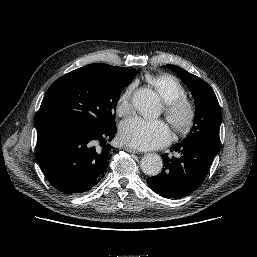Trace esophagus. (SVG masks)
Returning <instances> with one entry per match:
<instances>
[{"mask_svg":"<svg viewBox=\"0 0 257 257\" xmlns=\"http://www.w3.org/2000/svg\"><path fill=\"white\" fill-rule=\"evenodd\" d=\"M124 149H125L126 151H128V152H131V153H138V151H137L136 149L131 148V147H125Z\"/></svg>","mask_w":257,"mask_h":257,"instance_id":"obj_1","label":"esophagus"}]
</instances>
